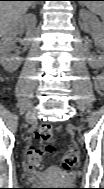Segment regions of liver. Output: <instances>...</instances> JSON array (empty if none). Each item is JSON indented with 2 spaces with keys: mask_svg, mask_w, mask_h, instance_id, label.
Returning <instances> with one entry per match:
<instances>
[{
  "mask_svg": "<svg viewBox=\"0 0 104 189\" xmlns=\"http://www.w3.org/2000/svg\"><path fill=\"white\" fill-rule=\"evenodd\" d=\"M33 1H1L0 2V34L3 36L27 12Z\"/></svg>",
  "mask_w": 104,
  "mask_h": 189,
  "instance_id": "6515ba94",
  "label": "liver"
}]
</instances>
